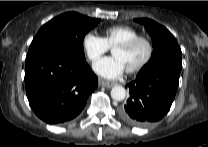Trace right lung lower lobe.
<instances>
[{"label":"right lung lower lobe","instance_id":"obj_1","mask_svg":"<svg viewBox=\"0 0 208 147\" xmlns=\"http://www.w3.org/2000/svg\"><path fill=\"white\" fill-rule=\"evenodd\" d=\"M98 78L86 60L64 50H47L27 56L25 86L35 114L49 124H61L77 117Z\"/></svg>","mask_w":208,"mask_h":147}]
</instances>
